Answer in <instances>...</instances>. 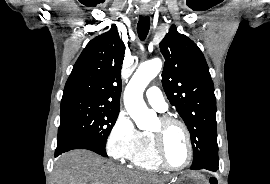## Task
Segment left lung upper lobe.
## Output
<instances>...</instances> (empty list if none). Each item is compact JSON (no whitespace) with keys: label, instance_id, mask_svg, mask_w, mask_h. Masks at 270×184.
Masks as SVG:
<instances>
[{"label":"left lung upper lobe","instance_id":"1","mask_svg":"<svg viewBox=\"0 0 270 184\" xmlns=\"http://www.w3.org/2000/svg\"><path fill=\"white\" fill-rule=\"evenodd\" d=\"M165 58L162 85L185 122L194 152L191 168L218 161L216 98L206 60L198 46L172 25L160 42Z\"/></svg>","mask_w":270,"mask_h":184}]
</instances>
